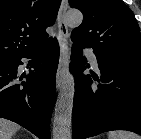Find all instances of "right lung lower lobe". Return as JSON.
<instances>
[{
	"label": "right lung lower lobe",
	"mask_w": 141,
	"mask_h": 139,
	"mask_svg": "<svg viewBox=\"0 0 141 139\" xmlns=\"http://www.w3.org/2000/svg\"><path fill=\"white\" fill-rule=\"evenodd\" d=\"M22 58L33 59V70L25 76L26 82L17 83ZM58 61L59 45L52 39L40 48L0 63V117L20 124L40 139H50Z\"/></svg>",
	"instance_id": "obj_1"
}]
</instances>
